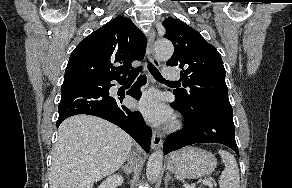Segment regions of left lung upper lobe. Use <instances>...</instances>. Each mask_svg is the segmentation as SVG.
<instances>
[{"label": "left lung upper lobe", "mask_w": 292, "mask_h": 188, "mask_svg": "<svg viewBox=\"0 0 292 188\" xmlns=\"http://www.w3.org/2000/svg\"><path fill=\"white\" fill-rule=\"evenodd\" d=\"M163 26L167 32L165 37L174 45V53L166 65L181 70L182 85L187 87V90H174L176 102L187 109L230 105L226 72L216 48L178 19L169 17Z\"/></svg>", "instance_id": "1"}]
</instances>
